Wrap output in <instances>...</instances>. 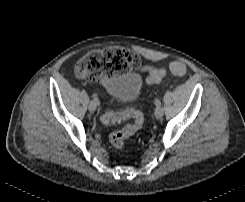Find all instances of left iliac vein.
Listing matches in <instances>:
<instances>
[{
  "mask_svg": "<svg viewBox=\"0 0 245 202\" xmlns=\"http://www.w3.org/2000/svg\"><path fill=\"white\" fill-rule=\"evenodd\" d=\"M163 114H164V111L162 107L159 106L155 109V117L157 119H160L163 116Z\"/></svg>",
  "mask_w": 245,
  "mask_h": 202,
  "instance_id": "left-iliac-vein-1",
  "label": "left iliac vein"
}]
</instances>
